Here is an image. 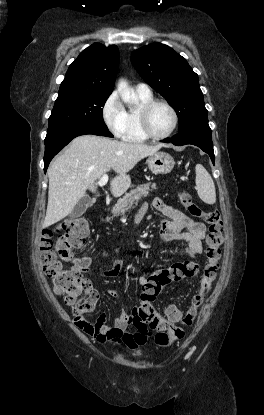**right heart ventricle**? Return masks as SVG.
<instances>
[{
    "label": "right heart ventricle",
    "mask_w": 264,
    "mask_h": 415,
    "mask_svg": "<svg viewBox=\"0 0 264 415\" xmlns=\"http://www.w3.org/2000/svg\"><path fill=\"white\" fill-rule=\"evenodd\" d=\"M136 94L139 99L140 106L153 99L152 94L146 95L138 92H136ZM138 109L139 108H130L126 110V126L121 135V138L125 141L139 143L147 140L140 130Z\"/></svg>",
    "instance_id": "e07e8e85"
}]
</instances>
